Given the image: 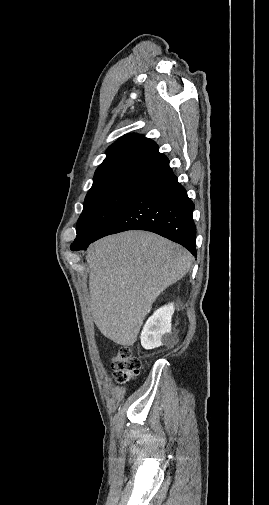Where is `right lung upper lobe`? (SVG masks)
Here are the masks:
<instances>
[{
  "label": "right lung upper lobe",
  "instance_id": "cb5924a9",
  "mask_svg": "<svg viewBox=\"0 0 269 505\" xmlns=\"http://www.w3.org/2000/svg\"><path fill=\"white\" fill-rule=\"evenodd\" d=\"M106 154L95 172L92 188L115 185L139 189L169 168V160L159 153L157 144L139 134L118 139Z\"/></svg>",
  "mask_w": 269,
  "mask_h": 505
}]
</instances>
